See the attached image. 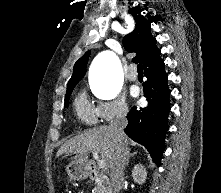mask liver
I'll use <instances>...</instances> for the list:
<instances>
[{
  "mask_svg": "<svg viewBox=\"0 0 221 193\" xmlns=\"http://www.w3.org/2000/svg\"><path fill=\"white\" fill-rule=\"evenodd\" d=\"M124 143L128 144V138L124 134ZM116 138L114 130L110 126H100L84 131L66 141L58 150L57 156L75 153L74 162L86 163L89 151H97L108 167L115 153Z\"/></svg>",
  "mask_w": 221,
  "mask_h": 193,
  "instance_id": "1",
  "label": "liver"
}]
</instances>
